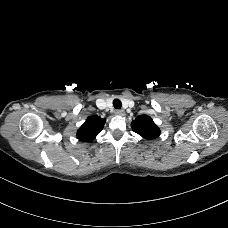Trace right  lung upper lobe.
<instances>
[{"label": "right lung upper lobe", "instance_id": "obj_1", "mask_svg": "<svg viewBox=\"0 0 228 228\" xmlns=\"http://www.w3.org/2000/svg\"><path fill=\"white\" fill-rule=\"evenodd\" d=\"M105 119L99 116H90L77 131V138L83 142H91L102 131Z\"/></svg>", "mask_w": 228, "mask_h": 228}]
</instances>
